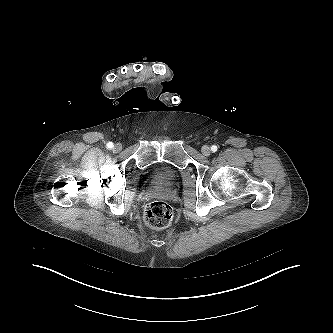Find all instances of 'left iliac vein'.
<instances>
[{
  "label": "left iliac vein",
  "instance_id": "left-iliac-vein-1",
  "mask_svg": "<svg viewBox=\"0 0 333 333\" xmlns=\"http://www.w3.org/2000/svg\"><path fill=\"white\" fill-rule=\"evenodd\" d=\"M201 151H202V154H203L204 156H209V155L211 154V149H210V147L207 146V145H204V146L202 147Z\"/></svg>",
  "mask_w": 333,
  "mask_h": 333
}]
</instances>
